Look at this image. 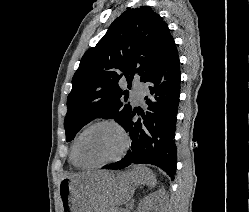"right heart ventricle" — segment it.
<instances>
[{"mask_svg": "<svg viewBox=\"0 0 249 212\" xmlns=\"http://www.w3.org/2000/svg\"><path fill=\"white\" fill-rule=\"evenodd\" d=\"M72 148L70 149V154H69V163L73 168L79 169V166L75 163L74 159H73V153H72Z\"/></svg>", "mask_w": 249, "mask_h": 212, "instance_id": "right-heart-ventricle-1", "label": "right heart ventricle"}]
</instances>
